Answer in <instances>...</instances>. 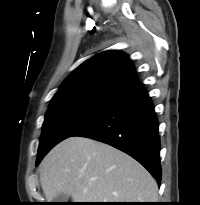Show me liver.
I'll return each instance as SVG.
<instances>
[{
  "label": "liver",
  "mask_w": 200,
  "mask_h": 205,
  "mask_svg": "<svg viewBox=\"0 0 200 205\" xmlns=\"http://www.w3.org/2000/svg\"><path fill=\"white\" fill-rule=\"evenodd\" d=\"M46 199L58 194L73 202H156L158 186L136 160L116 148L84 137L57 144L40 164Z\"/></svg>",
  "instance_id": "1"
}]
</instances>
